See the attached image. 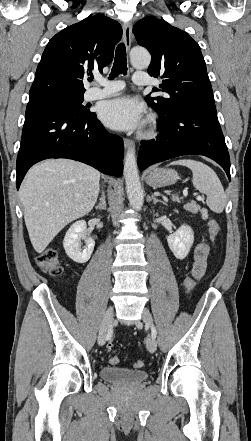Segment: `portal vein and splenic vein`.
<instances>
[{
    "label": "portal vein and splenic vein",
    "mask_w": 251,
    "mask_h": 441,
    "mask_svg": "<svg viewBox=\"0 0 251 441\" xmlns=\"http://www.w3.org/2000/svg\"><path fill=\"white\" fill-rule=\"evenodd\" d=\"M183 194H184V196H187V194H188L187 190H185V191L183 192ZM197 199H201V197L198 196Z\"/></svg>",
    "instance_id": "18ae733b"
}]
</instances>
